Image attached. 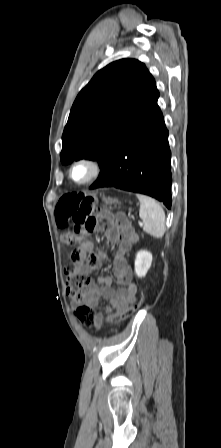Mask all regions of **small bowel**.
I'll use <instances>...</instances> for the list:
<instances>
[{
    "instance_id": "obj_1",
    "label": "small bowel",
    "mask_w": 221,
    "mask_h": 448,
    "mask_svg": "<svg viewBox=\"0 0 221 448\" xmlns=\"http://www.w3.org/2000/svg\"><path fill=\"white\" fill-rule=\"evenodd\" d=\"M96 221L101 223L106 233L107 245L110 247L117 246L113 261L114 277L101 276L96 281H90L85 290L83 301L86 306L95 309L100 299H106L109 302L106 315H113L116 319H122L129 305L136 298L137 286L131 280V270L126 255L132 246L138 242L139 236L130 224L119 223L106 210L97 214ZM61 240L66 246L80 244V247L71 251L70 257L75 266L82 272H90L98 268L106 258L103 253L90 254V244L83 242L82 237L75 234L64 233ZM113 283H118L120 288L114 290L111 287ZM107 318L103 312H96L94 326L101 330L103 322L107 321Z\"/></svg>"
}]
</instances>
